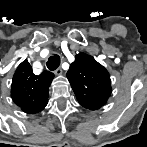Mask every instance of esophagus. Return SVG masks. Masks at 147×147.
I'll return each mask as SVG.
<instances>
[{
  "instance_id": "obj_1",
  "label": "esophagus",
  "mask_w": 147,
  "mask_h": 147,
  "mask_svg": "<svg viewBox=\"0 0 147 147\" xmlns=\"http://www.w3.org/2000/svg\"><path fill=\"white\" fill-rule=\"evenodd\" d=\"M55 75L60 76L62 74V69L59 67L55 70Z\"/></svg>"
}]
</instances>
